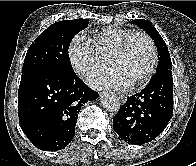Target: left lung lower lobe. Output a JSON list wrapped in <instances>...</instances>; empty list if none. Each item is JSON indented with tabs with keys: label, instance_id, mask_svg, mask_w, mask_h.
Here are the masks:
<instances>
[{
	"label": "left lung lower lobe",
	"instance_id": "1",
	"mask_svg": "<svg viewBox=\"0 0 196 166\" xmlns=\"http://www.w3.org/2000/svg\"><path fill=\"white\" fill-rule=\"evenodd\" d=\"M173 115L172 71L156 73L140 92L128 97L113 119L122 140L141 145L155 139Z\"/></svg>",
	"mask_w": 196,
	"mask_h": 166
}]
</instances>
